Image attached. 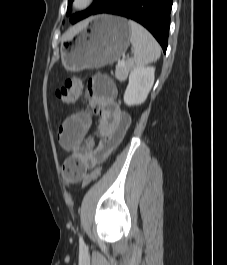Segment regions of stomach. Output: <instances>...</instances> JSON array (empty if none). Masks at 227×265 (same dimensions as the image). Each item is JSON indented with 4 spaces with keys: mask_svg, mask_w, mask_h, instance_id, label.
I'll list each match as a JSON object with an SVG mask.
<instances>
[{
    "mask_svg": "<svg viewBox=\"0 0 227 265\" xmlns=\"http://www.w3.org/2000/svg\"><path fill=\"white\" fill-rule=\"evenodd\" d=\"M130 37L131 29L126 19L107 14L98 15L75 40L61 44L62 64L71 72L111 64L125 54Z\"/></svg>",
    "mask_w": 227,
    "mask_h": 265,
    "instance_id": "obj_1",
    "label": "stomach"
}]
</instances>
